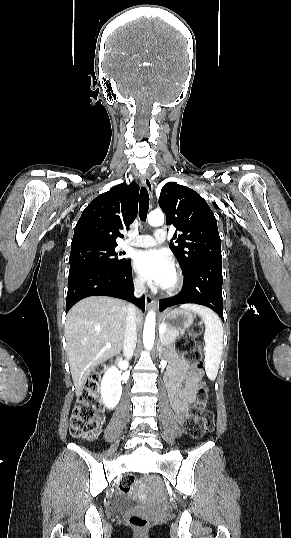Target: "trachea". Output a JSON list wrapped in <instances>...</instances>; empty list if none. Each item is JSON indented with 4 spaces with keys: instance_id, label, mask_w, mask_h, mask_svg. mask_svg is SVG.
<instances>
[{
    "instance_id": "trachea-1",
    "label": "trachea",
    "mask_w": 291,
    "mask_h": 538,
    "mask_svg": "<svg viewBox=\"0 0 291 538\" xmlns=\"http://www.w3.org/2000/svg\"><path fill=\"white\" fill-rule=\"evenodd\" d=\"M149 209V194L145 187L141 188L139 197V214L140 220L145 221Z\"/></svg>"
}]
</instances>
